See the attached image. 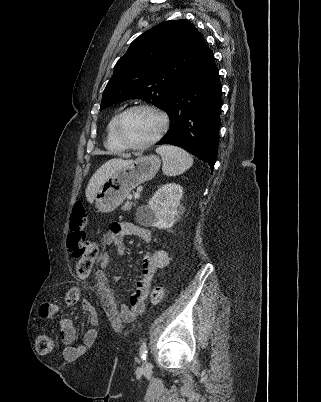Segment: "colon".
Masks as SVG:
<instances>
[{
	"instance_id": "colon-1",
	"label": "colon",
	"mask_w": 321,
	"mask_h": 402,
	"mask_svg": "<svg viewBox=\"0 0 321 402\" xmlns=\"http://www.w3.org/2000/svg\"><path fill=\"white\" fill-rule=\"evenodd\" d=\"M87 212L82 203L74 206L69 217V233L66 238V245L76 260V273L79 278L86 279L90 275L93 265L97 258V246L86 236ZM83 288L81 285H74L72 289L65 294V303L68 306L75 305L79 300ZM165 294V288L162 284L156 285L151 293L150 300L153 304L162 301ZM142 300L139 299L138 303ZM57 345V339L52 334H41L37 338V351L39 353L52 352Z\"/></svg>"
}]
</instances>
